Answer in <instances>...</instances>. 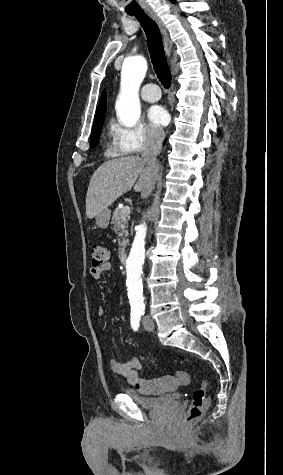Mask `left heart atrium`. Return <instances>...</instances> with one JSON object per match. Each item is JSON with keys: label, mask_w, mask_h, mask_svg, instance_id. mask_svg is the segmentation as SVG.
<instances>
[{"label": "left heart atrium", "mask_w": 283, "mask_h": 475, "mask_svg": "<svg viewBox=\"0 0 283 475\" xmlns=\"http://www.w3.org/2000/svg\"><path fill=\"white\" fill-rule=\"evenodd\" d=\"M148 119L152 126L162 128L169 122V114L162 106H153L148 111Z\"/></svg>", "instance_id": "obj_1"}]
</instances>
